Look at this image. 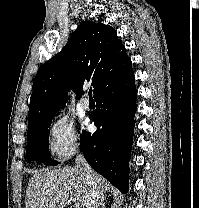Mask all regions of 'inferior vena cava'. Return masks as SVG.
Segmentation results:
<instances>
[{
	"instance_id": "obj_1",
	"label": "inferior vena cava",
	"mask_w": 199,
	"mask_h": 208,
	"mask_svg": "<svg viewBox=\"0 0 199 208\" xmlns=\"http://www.w3.org/2000/svg\"><path fill=\"white\" fill-rule=\"evenodd\" d=\"M75 164L76 168L84 174L89 184V195L85 203V208H100L104 196L101 192L96 173H94L82 153L77 152Z\"/></svg>"
}]
</instances>
